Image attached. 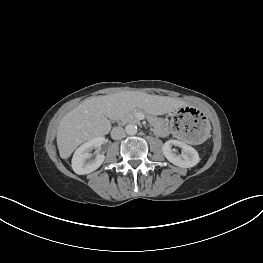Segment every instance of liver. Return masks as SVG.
Here are the masks:
<instances>
[{
	"instance_id": "liver-1",
	"label": "liver",
	"mask_w": 263,
	"mask_h": 263,
	"mask_svg": "<svg viewBox=\"0 0 263 263\" xmlns=\"http://www.w3.org/2000/svg\"><path fill=\"white\" fill-rule=\"evenodd\" d=\"M184 104L180 99L139 91L88 98L68 112L59 123L57 146L60 157L67 159L83 142L108 134L111 130L109 119H120L136 107L154 115H163Z\"/></svg>"
}]
</instances>
